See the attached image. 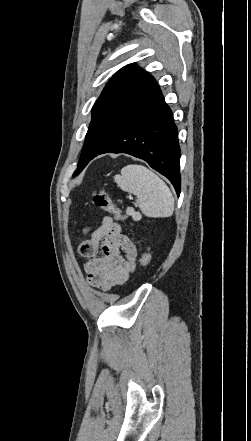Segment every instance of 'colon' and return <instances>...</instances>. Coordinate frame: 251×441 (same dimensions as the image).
<instances>
[{
  "instance_id": "1",
  "label": "colon",
  "mask_w": 251,
  "mask_h": 441,
  "mask_svg": "<svg viewBox=\"0 0 251 441\" xmlns=\"http://www.w3.org/2000/svg\"><path fill=\"white\" fill-rule=\"evenodd\" d=\"M93 203L96 207L100 208L103 211L108 212L109 214L113 215L118 220H125L126 219V215L123 214L121 212V210L112 203V201L110 200L106 191L103 189H99V190L94 191ZM150 260H151L150 253L147 250L143 251L141 258H140V264L142 266L146 267L149 265Z\"/></svg>"
}]
</instances>
